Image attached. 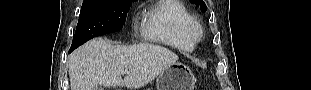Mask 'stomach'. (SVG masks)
Here are the masks:
<instances>
[{
    "instance_id": "obj_1",
    "label": "stomach",
    "mask_w": 311,
    "mask_h": 90,
    "mask_svg": "<svg viewBox=\"0 0 311 90\" xmlns=\"http://www.w3.org/2000/svg\"><path fill=\"white\" fill-rule=\"evenodd\" d=\"M196 79L191 69L182 63H174L158 76L156 90H193Z\"/></svg>"
}]
</instances>
